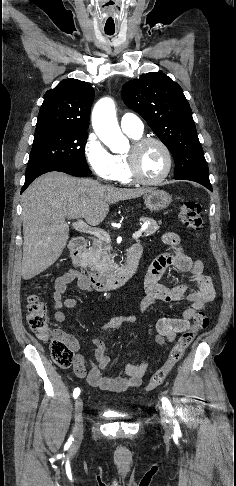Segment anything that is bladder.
Instances as JSON below:
<instances>
[{"label":"bladder","instance_id":"31cf9c89","mask_svg":"<svg viewBox=\"0 0 236 486\" xmlns=\"http://www.w3.org/2000/svg\"><path fill=\"white\" fill-rule=\"evenodd\" d=\"M110 414H111V416H116V417H123V416H125L122 413L117 412V411H112Z\"/></svg>","mask_w":236,"mask_h":486}]
</instances>
